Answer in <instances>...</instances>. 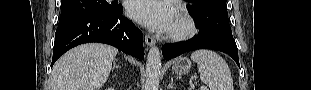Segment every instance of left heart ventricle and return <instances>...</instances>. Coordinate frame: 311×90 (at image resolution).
Listing matches in <instances>:
<instances>
[{
	"label": "left heart ventricle",
	"mask_w": 311,
	"mask_h": 90,
	"mask_svg": "<svg viewBox=\"0 0 311 90\" xmlns=\"http://www.w3.org/2000/svg\"><path fill=\"white\" fill-rule=\"evenodd\" d=\"M178 27H179V22H178L176 16H174L172 24H171V27H170L169 30H174V29H176Z\"/></svg>",
	"instance_id": "obj_1"
}]
</instances>
